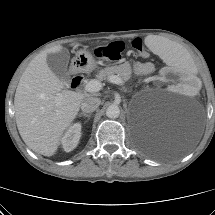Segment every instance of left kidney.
<instances>
[{
	"label": "left kidney",
	"instance_id": "left-kidney-1",
	"mask_svg": "<svg viewBox=\"0 0 215 215\" xmlns=\"http://www.w3.org/2000/svg\"><path fill=\"white\" fill-rule=\"evenodd\" d=\"M162 77L166 81L173 82L172 89L176 93L184 91L185 94L189 95L199 92L200 78L198 76H191L185 72L166 68L162 72Z\"/></svg>",
	"mask_w": 215,
	"mask_h": 215
}]
</instances>
